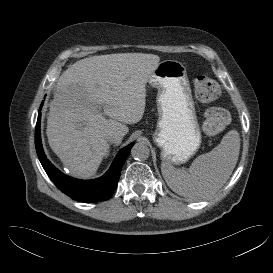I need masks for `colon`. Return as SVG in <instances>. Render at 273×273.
Wrapping results in <instances>:
<instances>
[{"instance_id":"colon-1","label":"colon","mask_w":273,"mask_h":273,"mask_svg":"<svg viewBox=\"0 0 273 273\" xmlns=\"http://www.w3.org/2000/svg\"><path fill=\"white\" fill-rule=\"evenodd\" d=\"M195 92L199 100L203 102L214 101L220 94L218 84L204 76L196 78ZM229 122V114L223 108H210L206 111L202 120V130L206 135L214 136L221 133Z\"/></svg>"}]
</instances>
